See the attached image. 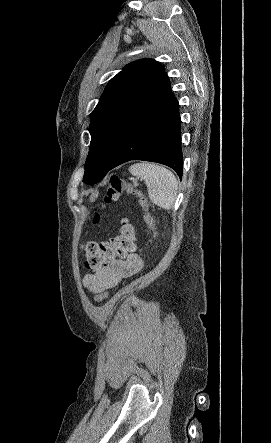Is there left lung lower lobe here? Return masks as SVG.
<instances>
[{"label":"left lung lower lobe","mask_w":271,"mask_h":443,"mask_svg":"<svg viewBox=\"0 0 271 443\" xmlns=\"http://www.w3.org/2000/svg\"><path fill=\"white\" fill-rule=\"evenodd\" d=\"M180 116L178 101L164 71L130 121L110 170L130 160L167 165L182 177Z\"/></svg>","instance_id":"0a47b994"}]
</instances>
